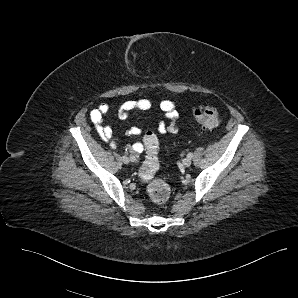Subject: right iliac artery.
I'll return each mask as SVG.
<instances>
[{
    "instance_id": "right-iliac-artery-1",
    "label": "right iliac artery",
    "mask_w": 298,
    "mask_h": 298,
    "mask_svg": "<svg viewBox=\"0 0 298 298\" xmlns=\"http://www.w3.org/2000/svg\"><path fill=\"white\" fill-rule=\"evenodd\" d=\"M130 160L134 162L136 160L135 156L131 155Z\"/></svg>"
}]
</instances>
